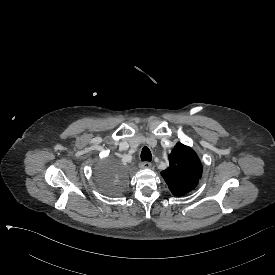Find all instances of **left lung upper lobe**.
Wrapping results in <instances>:
<instances>
[{
	"label": "left lung upper lobe",
	"mask_w": 275,
	"mask_h": 275,
	"mask_svg": "<svg viewBox=\"0 0 275 275\" xmlns=\"http://www.w3.org/2000/svg\"><path fill=\"white\" fill-rule=\"evenodd\" d=\"M169 167L161 174L175 196L192 191L202 175L201 162L192 148L177 143L169 155Z\"/></svg>",
	"instance_id": "left-lung-upper-lobe-1"
}]
</instances>
